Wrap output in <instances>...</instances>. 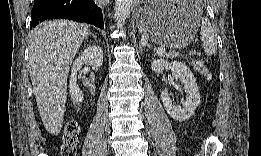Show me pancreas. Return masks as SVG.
<instances>
[{"instance_id":"obj_1","label":"pancreas","mask_w":261,"mask_h":156,"mask_svg":"<svg viewBox=\"0 0 261 156\" xmlns=\"http://www.w3.org/2000/svg\"><path fill=\"white\" fill-rule=\"evenodd\" d=\"M167 57H176L177 56V53L174 52V51H169V53L166 54Z\"/></svg>"}]
</instances>
